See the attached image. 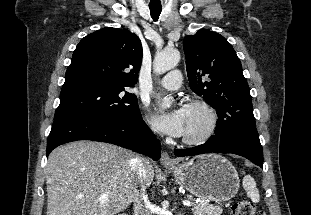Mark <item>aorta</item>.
<instances>
[{
  "mask_svg": "<svg viewBox=\"0 0 311 215\" xmlns=\"http://www.w3.org/2000/svg\"><path fill=\"white\" fill-rule=\"evenodd\" d=\"M180 60V53L176 49L163 50L156 54L153 61V70L156 74H163L178 64ZM172 103L171 98H164L162 106L164 108L170 107Z\"/></svg>",
  "mask_w": 311,
  "mask_h": 215,
  "instance_id": "762f6f07",
  "label": "aorta"
}]
</instances>
